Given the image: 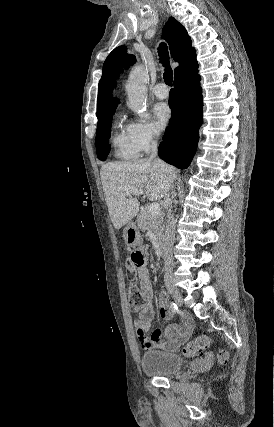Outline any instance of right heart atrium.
<instances>
[{
    "label": "right heart atrium",
    "mask_w": 274,
    "mask_h": 427,
    "mask_svg": "<svg viewBox=\"0 0 274 427\" xmlns=\"http://www.w3.org/2000/svg\"><path fill=\"white\" fill-rule=\"evenodd\" d=\"M132 139L141 152H148L153 149L159 139L156 130L149 123L134 122L129 124Z\"/></svg>",
    "instance_id": "d8ad5b80"
}]
</instances>
